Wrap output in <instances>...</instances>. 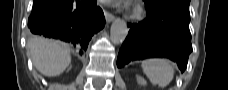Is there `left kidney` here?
I'll return each mask as SVG.
<instances>
[{
  "label": "left kidney",
  "mask_w": 228,
  "mask_h": 90,
  "mask_svg": "<svg viewBox=\"0 0 228 90\" xmlns=\"http://www.w3.org/2000/svg\"><path fill=\"white\" fill-rule=\"evenodd\" d=\"M137 82L140 85H146V81L141 76H136Z\"/></svg>",
  "instance_id": "left-kidney-1"
}]
</instances>
